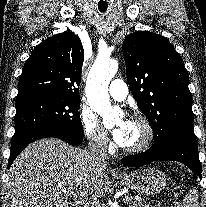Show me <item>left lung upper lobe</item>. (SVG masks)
I'll return each instance as SVG.
<instances>
[{"label":"left lung upper lobe","mask_w":206,"mask_h":207,"mask_svg":"<svg viewBox=\"0 0 206 207\" xmlns=\"http://www.w3.org/2000/svg\"><path fill=\"white\" fill-rule=\"evenodd\" d=\"M123 55L132 94L154 132L150 149L181 137L196 138L188 72L169 40L137 31L124 39Z\"/></svg>","instance_id":"1"}]
</instances>
